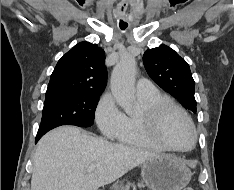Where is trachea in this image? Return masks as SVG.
<instances>
[{"mask_svg":"<svg viewBox=\"0 0 234 190\" xmlns=\"http://www.w3.org/2000/svg\"><path fill=\"white\" fill-rule=\"evenodd\" d=\"M120 28H121L122 30H124V29L126 28V26L120 25Z\"/></svg>","mask_w":234,"mask_h":190,"instance_id":"obj_1","label":"trachea"}]
</instances>
